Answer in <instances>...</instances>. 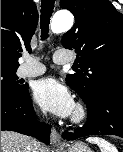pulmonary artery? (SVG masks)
<instances>
[{
    "mask_svg": "<svg viewBox=\"0 0 123 152\" xmlns=\"http://www.w3.org/2000/svg\"><path fill=\"white\" fill-rule=\"evenodd\" d=\"M53 60L56 64H66L73 60L72 56L63 51H57ZM46 71L45 66L28 55L25 56V62L19 67L17 74L20 77H36Z\"/></svg>",
    "mask_w": 123,
    "mask_h": 152,
    "instance_id": "pulmonary-artery-1",
    "label": "pulmonary artery"
}]
</instances>
